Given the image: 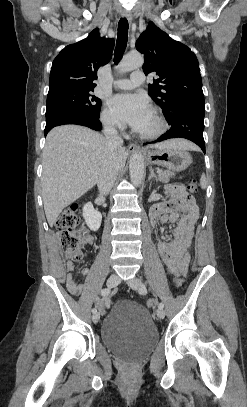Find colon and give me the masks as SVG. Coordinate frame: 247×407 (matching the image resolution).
Here are the masks:
<instances>
[{"instance_id": "5ec220e1", "label": "colon", "mask_w": 247, "mask_h": 407, "mask_svg": "<svg viewBox=\"0 0 247 407\" xmlns=\"http://www.w3.org/2000/svg\"><path fill=\"white\" fill-rule=\"evenodd\" d=\"M187 189L192 194L196 193L198 182L196 180L190 181ZM79 223L78 205L71 204L61 212L55 224L66 257L74 261H79L83 257L82 244L85 239V231L79 228ZM182 283L183 279L180 276L175 278L174 285L176 287H181ZM146 304L148 307L154 306L155 299H148Z\"/></svg>"}]
</instances>
